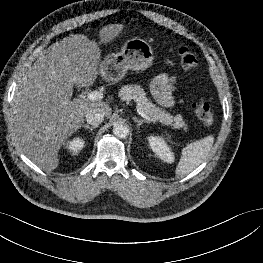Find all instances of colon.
I'll return each mask as SVG.
<instances>
[{"label": "colon", "instance_id": "colon-1", "mask_svg": "<svg viewBox=\"0 0 263 263\" xmlns=\"http://www.w3.org/2000/svg\"><path fill=\"white\" fill-rule=\"evenodd\" d=\"M179 58L182 67L185 70L193 71L198 64L197 55L188 47L183 46L179 49ZM191 106L198 120L205 125H211L214 122L215 113L213 108L200 95L196 96Z\"/></svg>", "mask_w": 263, "mask_h": 263}]
</instances>
